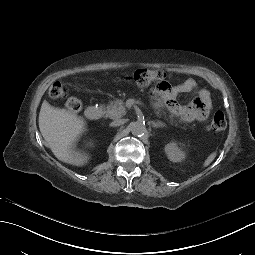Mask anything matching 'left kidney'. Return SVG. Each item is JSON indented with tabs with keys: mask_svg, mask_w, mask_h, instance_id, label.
Returning a JSON list of instances; mask_svg holds the SVG:
<instances>
[{
	"mask_svg": "<svg viewBox=\"0 0 255 255\" xmlns=\"http://www.w3.org/2000/svg\"><path fill=\"white\" fill-rule=\"evenodd\" d=\"M165 152L172 162H180L185 158V152L179 149L175 142H170L165 146Z\"/></svg>",
	"mask_w": 255,
	"mask_h": 255,
	"instance_id": "1",
	"label": "left kidney"
}]
</instances>
